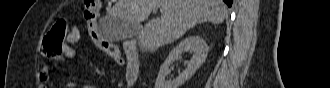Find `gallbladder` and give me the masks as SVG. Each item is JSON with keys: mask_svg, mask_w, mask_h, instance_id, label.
Returning <instances> with one entry per match:
<instances>
[{"mask_svg": "<svg viewBox=\"0 0 330 88\" xmlns=\"http://www.w3.org/2000/svg\"><path fill=\"white\" fill-rule=\"evenodd\" d=\"M140 25L123 21H106L102 24V35L109 41H122L136 36Z\"/></svg>", "mask_w": 330, "mask_h": 88, "instance_id": "bac80fb5", "label": "gallbladder"}]
</instances>
